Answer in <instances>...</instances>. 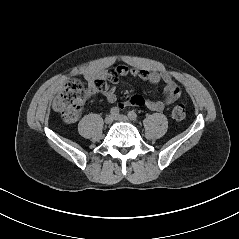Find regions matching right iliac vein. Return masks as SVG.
I'll return each instance as SVG.
<instances>
[{
	"label": "right iliac vein",
	"mask_w": 239,
	"mask_h": 239,
	"mask_svg": "<svg viewBox=\"0 0 239 239\" xmlns=\"http://www.w3.org/2000/svg\"><path fill=\"white\" fill-rule=\"evenodd\" d=\"M113 119H114L113 115H107L105 117V123L109 125V124H111L113 122Z\"/></svg>",
	"instance_id": "right-iliac-vein-1"
}]
</instances>
